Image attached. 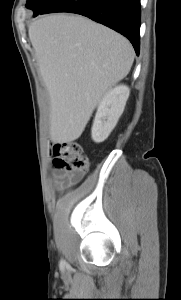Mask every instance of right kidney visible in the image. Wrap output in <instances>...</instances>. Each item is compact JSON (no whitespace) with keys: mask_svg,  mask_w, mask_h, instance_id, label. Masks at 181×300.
<instances>
[{"mask_svg":"<svg viewBox=\"0 0 181 300\" xmlns=\"http://www.w3.org/2000/svg\"><path fill=\"white\" fill-rule=\"evenodd\" d=\"M130 89L124 84L109 90L100 101L92 126V139L95 143L105 141L115 128L122 115Z\"/></svg>","mask_w":181,"mask_h":300,"instance_id":"right-kidney-1","label":"right kidney"}]
</instances>
